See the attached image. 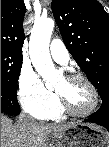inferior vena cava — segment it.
<instances>
[{"label": "inferior vena cava", "mask_w": 109, "mask_h": 147, "mask_svg": "<svg viewBox=\"0 0 109 147\" xmlns=\"http://www.w3.org/2000/svg\"><path fill=\"white\" fill-rule=\"evenodd\" d=\"M17 124L19 126H32L36 124L35 120L30 117L29 115L25 114L24 112H21L17 121Z\"/></svg>", "instance_id": "obj_1"}]
</instances>
